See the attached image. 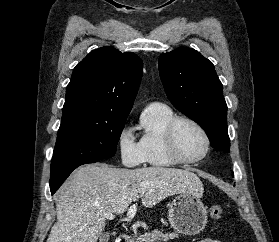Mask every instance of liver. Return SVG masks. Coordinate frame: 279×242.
<instances>
[{
  "instance_id": "liver-1",
  "label": "liver",
  "mask_w": 279,
  "mask_h": 242,
  "mask_svg": "<svg viewBox=\"0 0 279 242\" xmlns=\"http://www.w3.org/2000/svg\"><path fill=\"white\" fill-rule=\"evenodd\" d=\"M202 196L203 184L188 170L137 169L88 164L76 169L55 194L57 222L47 242H97L106 213H122L141 198L151 207L174 194Z\"/></svg>"
}]
</instances>
